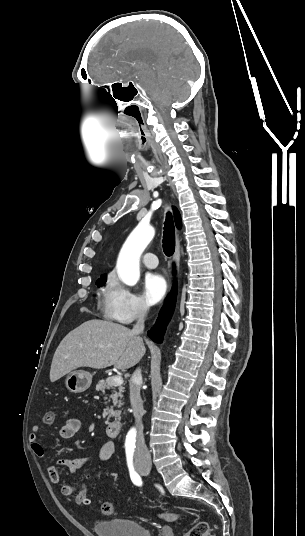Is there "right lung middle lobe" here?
Returning a JSON list of instances; mask_svg holds the SVG:
<instances>
[{"instance_id": "dd1d6c3e", "label": "right lung middle lobe", "mask_w": 305, "mask_h": 536, "mask_svg": "<svg viewBox=\"0 0 305 536\" xmlns=\"http://www.w3.org/2000/svg\"><path fill=\"white\" fill-rule=\"evenodd\" d=\"M105 282H106V277H101L100 279H98V280L96 281V285H97L98 287H100V286H102L103 284H105Z\"/></svg>"}]
</instances>
